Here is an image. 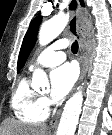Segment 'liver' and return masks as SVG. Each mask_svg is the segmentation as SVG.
<instances>
[{"instance_id": "liver-1", "label": "liver", "mask_w": 112, "mask_h": 135, "mask_svg": "<svg viewBox=\"0 0 112 135\" xmlns=\"http://www.w3.org/2000/svg\"><path fill=\"white\" fill-rule=\"evenodd\" d=\"M46 125H25L16 120L3 122L2 135H48Z\"/></svg>"}]
</instances>
